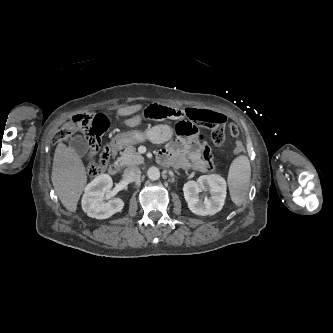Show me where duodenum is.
<instances>
[{
	"instance_id": "1",
	"label": "duodenum",
	"mask_w": 333,
	"mask_h": 333,
	"mask_svg": "<svg viewBox=\"0 0 333 333\" xmlns=\"http://www.w3.org/2000/svg\"><path fill=\"white\" fill-rule=\"evenodd\" d=\"M110 150H111V155L113 157V161L108 168V172L110 175H116L120 170V164L116 159L118 153V145L116 144L111 145Z\"/></svg>"
}]
</instances>
